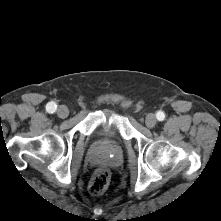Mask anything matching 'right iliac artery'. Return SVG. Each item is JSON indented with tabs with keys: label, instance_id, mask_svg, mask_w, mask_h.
<instances>
[{
	"label": "right iliac artery",
	"instance_id": "1",
	"mask_svg": "<svg viewBox=\"0 0 221 221\" xmlns=\"http://www.w3.org/2000/svg\"><path fill=\"white\" fill-rule=\"evenodd\" d=\"M56 109H57V105L54 102H49L46 105V110L49 113H54L56 111Z\"/></svg>",
	"mask_w": 221,
	"mask_h": 221
}]
</instances>
